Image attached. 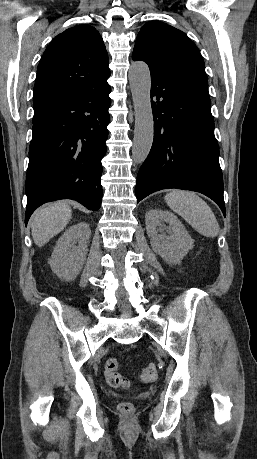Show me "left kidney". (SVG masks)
<instances>
[{"label": "left kidney", "instance_id": "obj_1", "mask_svg": "<svg viewBox=\"0 0 257 459\" xmlns=\"http://www.w3.org/2000/svg\"><path fill=\"white\" fill-rule=\"evenodd\" d=\"M145 223L154 252L169 264L180 263L194 247V241L185 226L172 212L150 210L145 215Z\"/></svg>", "mask_w": 257, "mask_h": 459}]
</instances>
